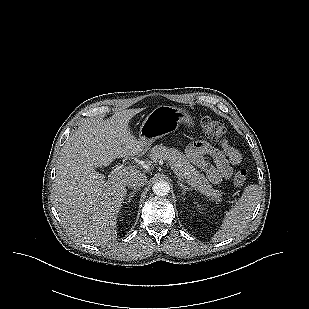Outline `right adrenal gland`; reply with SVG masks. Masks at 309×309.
Here are the masks:
<instances>
[{
    "mask_svg": "<svg viewBox=\"0 0 309 309\" xmlns=\"http://www.w3.org/2000/svg\"><path fill=\"white\" fill-rule=\"evenodd\" d=\"M139 191V189H134L132 192L129 193L128 195V201L130 202V200L134 197L135 193H137Z\"/></svg>",
    "mask_w": 309,
    "mask_h": 309,
    "instance_id": "obj_1",
    "label": "right adrenal gland"
}]
</instances>
